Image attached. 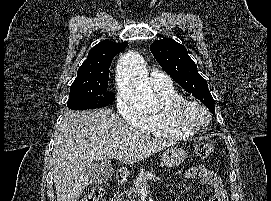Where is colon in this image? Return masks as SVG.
Masks as SVG:
<instances>
[{
    "label": "colon",
    "mask_w": 271,
    "mask_h": 201,
    "mask_svg": "<svg viewBox=\"0 0 271 201\" xmlns=\"http://www.w3.org/2000/svg\"><path fill=\"white\" fill-rule=\"evenodd\" d=\"M196 152L199 157L207 158L214 152V146L211 143H201L197 146ZM105 194L103 185H95L81 201H100Z\"/></svg>",
    "instance_id": "5ec220e1"
}]
</instances>
